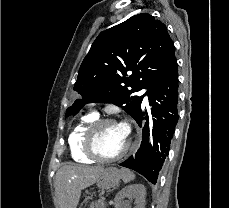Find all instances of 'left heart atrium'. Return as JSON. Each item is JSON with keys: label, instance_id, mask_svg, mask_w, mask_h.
<instances>
[{"label": "left heart atrium", "instance_id": "39dd6f15", "mask_svg": "<svg viewBox=\"0 0 229 208\" xmlns=\"http://www.w3.org/2000/svg\"><path fill=\"white\" fill-rule=\"evenodd\" d=\"M119 127L122 130V132L127 135V133H128V127H127V125L121 124V125H119Z\"/></svg>", "mask_w": 229, "mask_h": 208}]
</instances>
